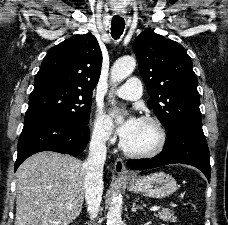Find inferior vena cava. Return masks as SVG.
<instances>
[{
  "instance_id": "inferior-vena-cava-1",
  "label": "inferior vena cava",
  "mask_w": 228,
  "mask_h": 225,
  "mask_svg": "<svg viewBox=\"0 0 228 225\" xmlns=\"http://www.w3.org/2000/svg\"><path fill=\"white\" fill-rule=\"evenodd\" d=\"M106 161V143L104 131L92 135L88 159L83 167L86 171L84 179L85 201L91 221L97 217L103 193V167Z\"/></svg>"
}]
</instances>
